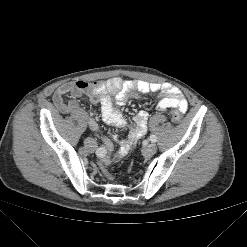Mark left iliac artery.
Here are the masks:
<instances>
[{"label":"left iliac artery","instance_id":"left-iliac-artery-1","mask_svg":"<svg viewBox=\"0 0 247 247\" xmlns=\"http://www.w3.org/2000/svg\"><path fill=\"white\" fill-rule=\"evenodd\" d=\"M149 138L152 142H157V137L155 135H150Z\"/></svg>","mask_w":247,"mask_h":247}]
</instances>
